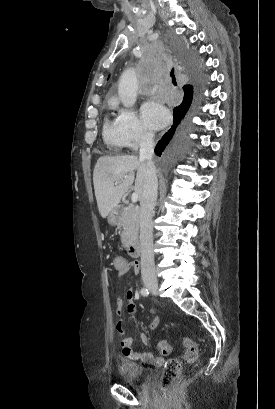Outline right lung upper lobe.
I'll return each mask as SVG.
<instances>
[{"instance_id": "1", "label": "right lung upper lobe", "mask_w": 275, "mask_h": 409, "mask_svg": "<svg viewBox=\"0 0 275 409\" xmlns=\"http://www.w3.org/2000/svg\"><path fill=\"white\" fill-rule=\"evenodd\" d=\"M183 90H184V98H183L182 103L186 102L193 95V87L192 85H184Z\"/></svg>"}]
</instances>
